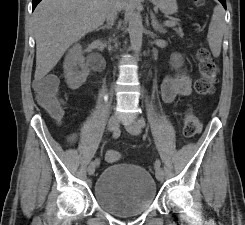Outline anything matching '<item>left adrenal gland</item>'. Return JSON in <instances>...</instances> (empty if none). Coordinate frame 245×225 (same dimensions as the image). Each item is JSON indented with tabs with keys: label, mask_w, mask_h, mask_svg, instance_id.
Wrapping results in <instances>:
<instances>
[{
	"label": "left adrenal gland",
	"mask_w": 245,
	"mask_h": 225,
	"mask_svg": "<svg viewBox=\"0 0 245 225\" xmlns=\"http://www.w3.org/2000/svg\"><path fill=\"white\" fill-rule=\"evenodd\" d=\"M150 15H151V25H152L153 29L156 32H159V33H162V34L166 33V31L163 28V26L157 21L154 13L151 12Z\"/></svg>",
	"instance_id": "obj_1"
}]
</instances>
